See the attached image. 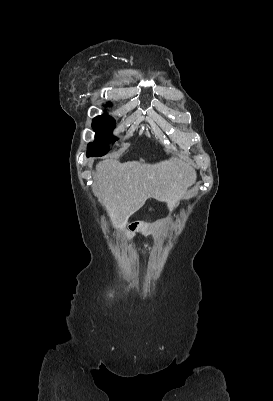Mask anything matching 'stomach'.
<instances>
[{"mask_svg":"<svg viewBox=\"0 0 273 401\" xmlns=\"http://www.w3.org/2000/svg\"><path fill=\"white\" fill-rule=\"evenodd\" d=\"M166 223V219H159V221H155V223H151V225H146L144 231L147 235H152V237H159L162 235L163 227Z\"/></svg>","mask_w":273,"mask_h":401,"instance_id":"0dacf381","label":"stomach"}]
</instances>
